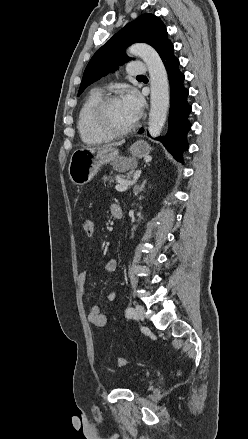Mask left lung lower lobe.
<instances>
[{"label":"left lung lower lobe","mask_w":248,"mask_h":439,"mask_svg":"<svg viewBox=\"0 0 248 439\" xmlns=\"http://www.w3.org/2000/svg\"><path fill=\"white\" fill-rule=\"evenodd\" d=\"M173 44L170 43L160 54L167 70L170 83V112L168 118V134L158 137L168 151L182 162L181 154L188 149L187 132L191 129L188 117L191 106L187 102L188 89L183 85L184 74L179 70V60L173 54ZM143 129L139 130L142 133Z\"/></svg>","instance_id":"obj_1"}]
</instances>
